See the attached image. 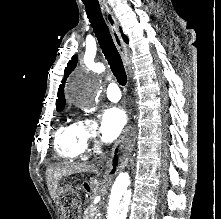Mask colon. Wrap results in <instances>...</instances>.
Listing matches in <instances>:
<instances>
[{"mask_svg":"<svg viewBox=\"0 0 221 219\" xmlns=\"http://www.w3.org/2000/svg\"><path fill=\"white\" fill-rule=\"evenodd\" d=\"M62 201L64 203V207L69 213V216L72 217L75 208L79 202V195L76 191L65 189L62 195Z\"/></svg>","mask_w":221,"mask_h":219,"instance_id":"colon-1","label":"colon"}]
</instances>
